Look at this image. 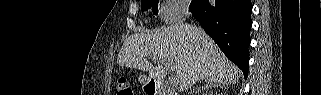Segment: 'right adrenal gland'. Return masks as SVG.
Segmentation results:
<instances>
[{
	"mask_svg": "<svg viewBox=\"0 0 321 95\" xmlns=\"http://www.w3.org/2000/svg\"><path fill=\"white\" fill-rule=\"evenodd\" d=\"M209 88H219V90H223V89H227L226 86H223L221 84H215V83H207L205 86H202L200 88H197L196 90H194L191 94L193 93H198L200 92L201 90H206V89H209Z\"/></svg>",
	"mask_w": 321,
	"mask_h": 95,
	"instance_id": "obj_1",
	"label": "right adrenal gland"
}]
</instances>
